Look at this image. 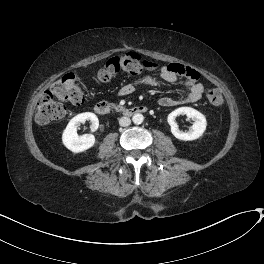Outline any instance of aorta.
<instances>
[{"label":"aorta","mask_w":264,"mask_h":264,"mask_svg":"<svg viewBox=\"0 0 264 264\" xmlns=\"http://www.w3.org/2000/svg\"><path fill=\"white\" fill-rule=\"evenodd\" d=\"M132 121L134 124H141L144 121V116L140 113H136L133 115Z\"/></svg>","instance_id":"1"}]
</instances>
